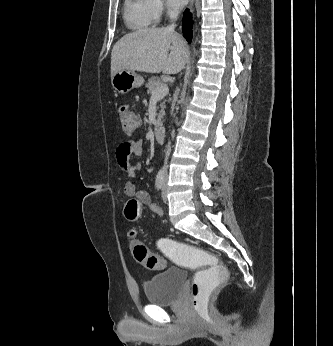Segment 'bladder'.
Masks as SVG:
<instances>
[{
	"label": "bladder",
	"mask_w": 333,
	"mask_h": 346,
	"mask_svg": "<svg viewBox=\"0 0 333 346\" xmlns=\"http://www.w3.org/2000/svg\"><path fill=\"white\" fill-rule=\"evenodd\" d=\"M186 279V272L181 268H168L153 275L144 283L147 301L153 305H166L175 302Z\"/></svg>",
	"instance_id": "obj_1"
}]
</instances>
